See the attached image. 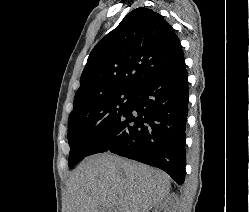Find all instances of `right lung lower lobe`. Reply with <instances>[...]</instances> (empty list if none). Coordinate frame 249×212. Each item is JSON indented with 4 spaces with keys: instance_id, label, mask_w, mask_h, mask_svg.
<instances>
[{
    "instance_id": "obj_1",
    "label": "right lung lower lobe",
    "mask_w": 249,
    "mask_h": 212,
    "mask_svg": "<svg viewBox=\"0 0 249 212\" xmlns=\"http://www.w3.org/2000/svg\"><path fill=\"white\" fill-rule=\"evenodd\" d=\"M188 80L184 58L134 92L130 107L92 154L110 151L160 168L179 185L185 177Z\"/></svg>"
}]
</instances>
